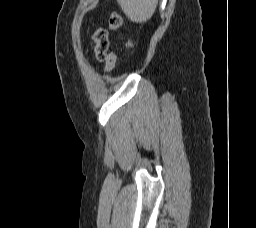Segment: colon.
<instances>
[{"mask_svg": "<svg viewBox=\"0 0 256 228\" xmlns=\"http://www.w3.org/2000/svg\"><path fill=\"white\" fill-rule=\"evenodd\" d=\"M123 25V18L119 13H112L109 18V27L111 30L119 32ZM94 42V55L98 61H104V71L109 73L113 71L117 64V52H111L107 54L109 40L107 31L103 28H98L93 34ZM126 47L130 46V42L127 40Z\"/></svg>", "mask_w": 256, "mask_h": 228, "instance_id": "obj_1", "label": "colon"}]
</instances>
